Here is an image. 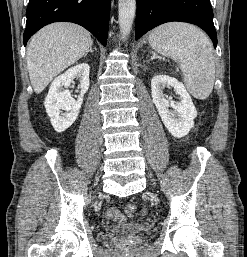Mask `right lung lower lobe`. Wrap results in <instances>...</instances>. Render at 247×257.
<instances>
[{"label": "right lung lower lobe", "instance_id": "98d812e1", "mask_svg": "<svg viewBox=\"0 0 247 257\" xmlns=\"http://www.w3.org/2000/svg\"><path fill=\"white\" fill-rule=\"evenodd\" d=\"M111 0H30L23 41L47 24L67 21L89 30L104 46L107 43Z\"/></svg>", "mask_w": 247, "mask_h": 257}]
</instances>
